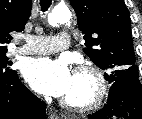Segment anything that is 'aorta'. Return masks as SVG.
I'll return each instance as SVG.
<instances>
[{"label": "aorta", "instance_id": "aorta-1", "mask_svg": "<svg viewBox=\"0 0 142 119\" xmlns=\"http://www.w3.org/2000/svg\"><path fill=\"white\" fill-rule=\"evenodd\" d=\"M71 19V12L67 7H55L48 14V23L53 27H58L60 24L66 23Z\"/></svg>", "mask_w": 142, "mask_h": 119}]
</instances>
